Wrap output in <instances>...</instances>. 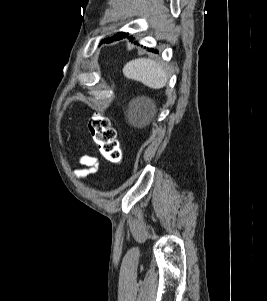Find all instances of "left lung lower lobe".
I'll return each instance as SVG.
<instances>
[{
    "instance_id": "0a47b994",
    "label": "left lung lower lobe",
    "mask_w": 267,
    "mask_h": 301,
    "mask_svg": "<svg viewBox=\"0 0 267 301\" xmlns=\"http://www.w3.org/2000/svg\"><path fill=\"white\" fill-rule=\"evenodd\" d=\"M124 37H128L129 38V36H128V33H121V34H116V35H113V37H111V38H106L104 41H102V42H104V43H110V42H113V41H117V40H120V39H122V38H124ZM130 38H133L132 36H130ZM151 51H153V52H157V51H154L153 49H151Z\"/></svg>"
}]
</instances>
